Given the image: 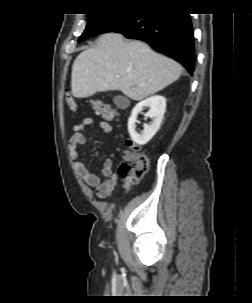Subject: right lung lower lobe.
<instances>
[{
    "instance_id": "obj_1",
    "label": "right lung lower lobe",
    "mask_w": 252,
    "mask_h": 303,
    "mask_svg": "<svg viewBox=\"0 0 252 303\" xmlns=\"http://www.w3.org/2000/svg\"><path fill=\"white\" fill-rule=\"evenodd\" d=\"M117 32L148 43L156 51L180 62L190 74L195 69L193 27L189 14L170 9H130L100 34Z\"/></svg>"
}]
</instances>
